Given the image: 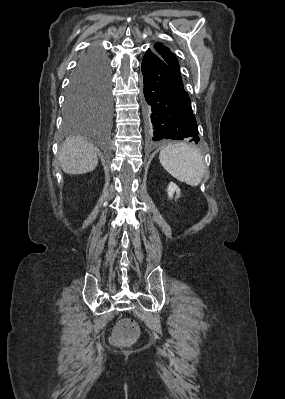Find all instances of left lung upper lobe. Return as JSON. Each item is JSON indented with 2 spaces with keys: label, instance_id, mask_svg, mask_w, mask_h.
<instances>
[{
  "label": "left lung upper lobe",
  "instance_id": "obj_1",
  "mask_svg": "<svg viewBox=\"0 0 285 399\" xmlns=\"http://www.w3.org/2000/svg\"><path fill=\"white\" fill-rule=\"evenodd\" d=\"M155 50L157 53L167 62H169L178 72H179V63L174 55L168 47L162 45L161 43H156L154 45Z\"/></svg>",
  "mask_w": 285,
  "mask_h": 399
}]
</instances>
